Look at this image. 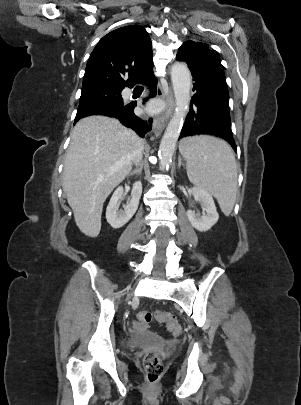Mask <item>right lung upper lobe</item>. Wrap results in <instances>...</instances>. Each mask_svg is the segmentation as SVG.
<instances>
[{"label": "right lung upper lobe", "instance_id": "right-lung-upper-lobe-1", "mask_svg": "<svg viewBox=\"0 0 301 405\" xmlns=\"http://www.w3.org/2000/svg\"><path fill=\"white\" fill-rule=\"evenodd\" d=\"M153 68L152 44L143 26L129 25L105 35L91 53L83 89L133 87Z\"/></svg>", "mask_w": 301, "mask_h": 405}]
</instances>
